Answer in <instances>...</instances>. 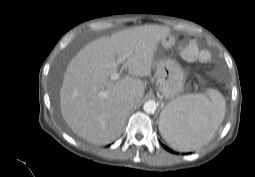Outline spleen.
I'll list each match as a JSON object with an SVG mask.
<instances>
[{
    "instance_id": "spleen-1",
    "label": "spleen",
    "mask_w": 255,
    "mask_h": 177,
    "mask_svg": "<svg viewBox=\"0 0 255 177\" xmlns=\"http://www.w3.org/2000/svg\"><path fill=\"white\" fill-rule=\"evenodd\" d=\"M224 97L216 90L184 95L169 103L160 118L162 137L178 151H192L207 144L225 116Z\"/></svg>"
}]
</instances>
